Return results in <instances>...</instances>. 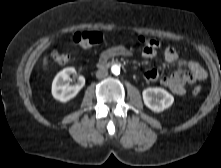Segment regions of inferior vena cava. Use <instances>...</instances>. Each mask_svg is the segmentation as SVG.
I'll return each instance as SVG.
<instances>
[{"instance_id":"obj_1","label":"inferior vena cava","mask_w":221,"mask_h":168,"mask_svg":"<svg viewBox=\"0 0 221 168\" xmlns=\"http://www.w3.org/2000/svg\"><path fill=\"white\" fill-rule=\"evenodd\" d=\"M108 76V71L106 69H99L96 72V77L102 79Z\"/></svg>"}]
</instances>
